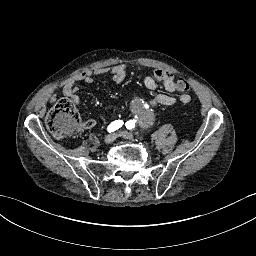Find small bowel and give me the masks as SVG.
Returning a JSON list of instances; mask_svg holds the SVG:
<instances>
[{"label": "small bowel", "mask_w": 256, "mask_h": 256, "mask_svg": "<svg viewBox=\"0 0 256 256\" xmlns=\"http://www.w3.org/2000/svg\"><path fill=\"white\" fill-rule=\"evenodd\" d=\"M105 74H110L112 80L116 84H121L126 78L127 69L125 65L119 64L111 68H96L94 70L79 73L71 77L64 83L63 93L74 105L77 106L80 104V98L77 95L78 83H93L96 77ZM181 81L182 80L176 81L174 75L170 71L164 69H156L152 75L146 76L144 78V84L149 90H156L157 82H160L162 83L165 91L168 93L158 94L155 100L149 105V107L151 109H155L159 106H171L177 101L184 104L189 103L191 100V96L187 93L189 88L187 90L181 88L179 86V83ZM175 91L181 92L182 94L179 95L177 98L170 95V93H173ZM55 100L56 95H53L51 97V101L54 102Z\"/></svg>", "instance_id": "small-bowel-1"}]
</instances>
